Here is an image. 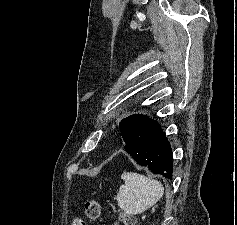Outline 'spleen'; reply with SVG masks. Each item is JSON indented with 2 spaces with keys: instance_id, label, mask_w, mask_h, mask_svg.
I'll use <instances>...</instances> for the list:
<instances>
[{
  "instance_id": "obj_1",
  "label": "spleen",
  "mask_w": 237,
  "mask_h": 225,
  "mask_svg": "<svg viewBox=\"0 0 237 225\" xmlns=\"http://www.w3.org/2000/svg\"><path fill=\"white\" fill-rule=\"evenodd\" d=\"M121 178L124 184L117 192V203L127 214L143 213L156 204L164 194V187L160 181L142 174L127 172L123 173Z\"/></svg>"
}]
</instances>
